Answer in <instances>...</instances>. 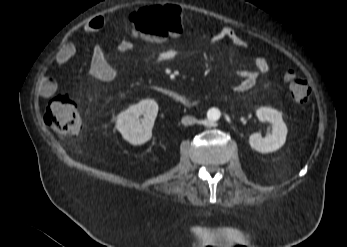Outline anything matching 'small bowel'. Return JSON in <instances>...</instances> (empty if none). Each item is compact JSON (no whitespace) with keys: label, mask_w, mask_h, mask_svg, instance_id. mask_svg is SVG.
<instances>
[{"label":"small bowel","mask_w":347,"mask_h":247,"mask_svg":"<svg viewBox=\"0 0 347 247\" xmlns=\"http://www.w3.org/2000/svg\"><path fill=\"white\" fill-rule=\"evenodd\" d=\"M105 25L106 19L104 17H95L88 20L82 26V30L87 33H95L102 30ZM179 36L180 33H177L171 37ZM207 40L211 44L229 41L238 50H245L248 47L245 38L231 27L218 29L214 34L208 35ZM133 48V43L129 39L123 38L118 43V50L121 53L131 52ZM75 52V44L72 41H66L57 51L53 59V65L61 66L65 64L74 56ZM175 56L176 50L174 48H166L158 53V60L162 63H168L174 60ZM254 65L255 70H247L245 74L240 75L238 82L233 86L234 91L245 92L252 89L256 85L258 74L269 70V63L262 56L255 58ZM90 72L95 79L103 82L113 81L118 77L117 68L107 61L104 49L101 46L92 49ZM37 84L41 95L44 97L52 96L57 90V83L48 73H42L37 80Z\"/></svg>","instance_id":"obj_1"}]
</instances>
